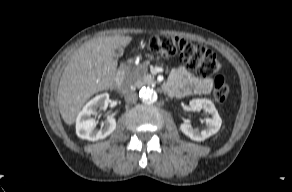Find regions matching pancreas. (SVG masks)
I'll list each match as a JSON object with an SVG mask.
<instances>
[{"instance_id":"cf45deb5","label":"pancreas","mask_w":292,"mask_h":192,"mask_svg":"<svg viewBox=\"0 0 292 192\" xmlns=\"http://www.w3.org/2000/svg\"><path fill=\"white\" fill-rule=\"evenodd\" d=\"M126 78L129 84L135 87H140L144 84H152L154 82V77L148 73V64L145 62L129 70Z\"/></svg>"}]
</instances>
